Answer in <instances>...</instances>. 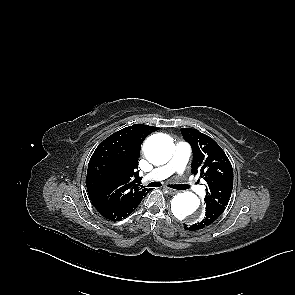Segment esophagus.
<instances>
[{
  "instance_id": "obj_1",
  "label": "esophagus",
  "mask_w": 295,
  "mask_h": 295,
  "mask_svg": "<svg viewBox=\"0 0 295 295\" xmlns=\"http://www.w3.org/2000/svg\"><path fill=\"white\" fill-rule=\"evenodd\" d=\"M165 190H166V192H167L168 194H170V195H173V194H176V193H177V191L174 190V189L165 188Z\"/></svg>"
}]
</instances>
